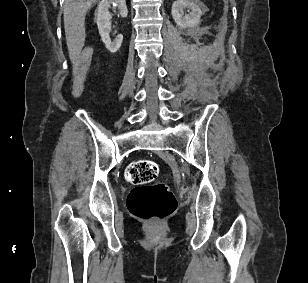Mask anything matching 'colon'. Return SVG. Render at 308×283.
<instances>
[{
    "label": "colon",
    "instance_id": "colon-1",
    "mask_svg": "<svg viewBox=\"0 0 308 283\" xmlns=\"http://www.w3.org/2000/svg\"><path fill=\"white\" fill-rule=\"evenodd\" d=\"M93 53V46L88 45L75 60L73 94L76 97L86 88ZM158 172V165L146 159L130 163L125 171L126 180L135 186L128 196V209L133 216L150 222L167 218L177 205L176 198L166 183L151 184Z\"/></svg>",
    "mask_w": 308,
    "mask_h": 283
}]
</instances>
